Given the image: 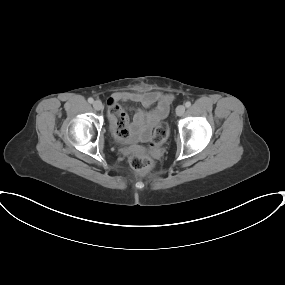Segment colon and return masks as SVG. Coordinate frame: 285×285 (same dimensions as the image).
<instances>
[{
	"instance_id": "colon-1",
	"label": "colon",
	"mask_w": 285,
	"mask_h": 285,
	"mask_svg": "<svg viewBox=\"0 0 285 285\" xmlns=\"http://www.w3.org/2000/svg\"><path fill=\"white\" fill-rule=\"evenodd\" d=\"M109 108L111 113L117 116V121L114 124L115 133L119 138H125L128 134V129L125 121L120 117L118 107L114 104H109ZM167 136L168 128L166 124H159L153 131L151 145H160L167 138ZM129 165L134 171L147 173L153 168L154 162L146 155L135 153L129 157Z\"/></svg>"
}]
</instances>
